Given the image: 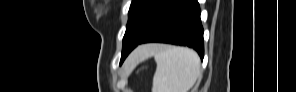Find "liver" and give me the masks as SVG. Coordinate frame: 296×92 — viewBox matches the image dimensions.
<instances>
[{
	"instance_id": "1",
	"label": "liver",
	"mask_w": 296,
	"mask_h": 92,
	"mask_svg": "<svg viewBox=\"0 0 296 92\" xmlns=\"http://www.w3.org/2000/svg\"><path fill=\"white\" fill-rule=\"evenodd\" d=\"M144 48H146V47L140 48L137 53H139L140 51H142V49H144Z\"/></svg>"
}]
</instances>
